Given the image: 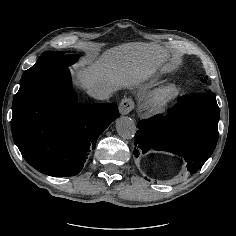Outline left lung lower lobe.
Wrapping results in <instances>:
<instances>
[{"label": "left lung lower lobe", "instance_id": "1", "mask_svg": "<svg viewBox=\"0 0 236 236\" xmlns=\"http://www.w3.org/2000/svg\"><path fill=\"white\" fill-rule=\"evenodd\" d=\"M219 117L215 94L182 96L166 117L158 114L139 123L133 153L138 157L151 149L169 151L184 158L193 174L215 149Z\"/></svg>", "mask_w": 236, "mask_h": 236}]
</instances>
